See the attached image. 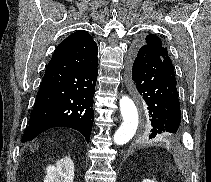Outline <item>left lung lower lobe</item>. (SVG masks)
Instances as JSON below:
<instances>
[{
    "instance_id": "0a47b994",
    "label": "left lung lower lobe",
    "mask_w": 211,
    "mask_h": 182,
    "mask_svg": "<svg viewBox=\"0 0 211 182\" xmlns=\"http://www.w3.org/2000/svg\"><path fill=\"white\" fill-rule=\"evenodd\" d=\"M129 87L148 110L149 139L177 141L182 134L181 111L176 79L159 55L136 44L129 61Z\"/></svg>"
}]
</instances>
